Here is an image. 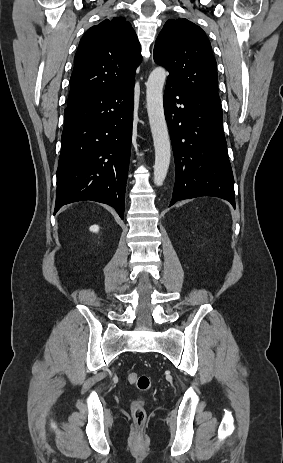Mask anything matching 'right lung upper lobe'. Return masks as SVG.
<instances>
[{"label":"right lung upper lobe","instance_id":"cb5924a9","mask_svg":"<svg viewBox=\"0 0 283 463\" xmlns=\"http://www.w3.org/2000/svg\"><path fill=\"white\" fill-rule=\"evenodd\" d=\"M140 62L139 41L123 17L92 26L80 40L74 57L67 105L133 82Z\"/></svg>","mask_w":283,"mask_h":463}]
</instances>
